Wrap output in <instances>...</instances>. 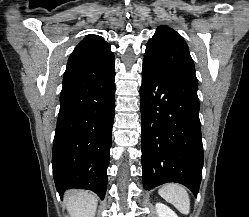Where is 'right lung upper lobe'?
<instances>
[{
	"instance_id": "1",
	"label": "right lung upper lobe",
	"mask_w": 249,
	"mask_h": 217,
	"mask_svg": "<svg viewBox=\"0 0 249 217\" xmlns=\"http://www.w3.org/2000/svg\"><path fill=\"white\" fill-rule=\"evenodd\" d=\"M113 55L110 45L98 35H87L69 57L67 67L98 63Z\"/></svg>"
}]
</instances>
